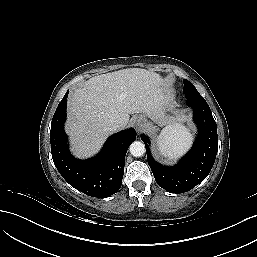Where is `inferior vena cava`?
Listing matches in <instances>:
<instances>
[{
	"label": "inferior vena cava",
	"instance_id": "obj_1",
	"mask_svg": "<svg viewBox=\"0 0 257 257\" xmlns=\"http://www.w3.org/2000/svg\"><path fill=\"white\" fill-rule=\"evenodd\" d=\"M121 128H122V125H121V124H119V123H114V124H112V125L109 126L108 130H109L110 132H115V131H117V130H119V129H121Z\"/></svg>",
	"mask_w": 257,
	"mask_h": 257
}]
</instances>
